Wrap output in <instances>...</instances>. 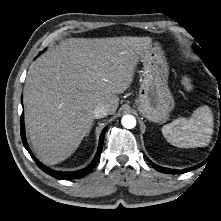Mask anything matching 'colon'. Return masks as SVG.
<instances>
[{"label":"colon","mask_w":221,"mask_h":221,"mask_svg":"<svg viewBox=\"0 0 221 221\" xmlns=\"http://www.w3.org/2000/svg\"><path fill=\"white\" fill-rule=\"evenodd\" d=\"M182 85L187 91H192L194 87L191 78L188 76L183 77Z\"/></svg>","instance_id":"obj_1"}]
</instances>
